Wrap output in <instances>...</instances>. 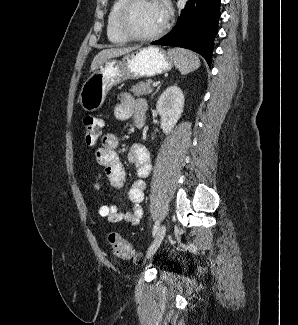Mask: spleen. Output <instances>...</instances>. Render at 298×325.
Here are the masks:
<instances>
[{"instance_id": "obj_1", "label": "spleen", "mask_w": 298, "mask_h": 325, "mask_svg": "<svg viewBox=\"0 0 298 325\" xmlns=\"http://www.w3.org/2000/svg\"><path fill=\"white\" fill-rule=\"evenodd\" d=\"M167 52L173 58L174 64L181 74H188L200 66L199 56L187 48H168Z\"/></svg>"}]
</instances>
